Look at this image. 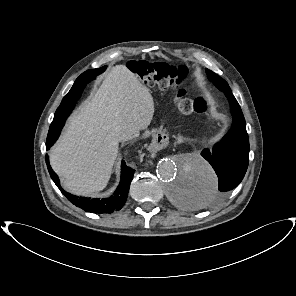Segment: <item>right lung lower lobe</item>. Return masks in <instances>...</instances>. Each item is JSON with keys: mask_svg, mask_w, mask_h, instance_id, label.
<instances>
[{"mask_svg": "<svg viewBox=\"0 0 296 296\" xmlns=\"http://www.w3.org/2000/svg\"><path fill=\"white\" fill-rule=\"evenodd\" d=\"M91 70H88L81 74L75 81L74 85L71 88V92L73 96L77 97L80 96L84 87L88 82H90L97 74L90 73ZM71 113L70 108H65L60 110L59 112H55L54 120L52 121L47 140H46V148L49 149L54 142L59 137L60 131L65 123L66 118ZM46 164L48 167V171L54 183L60 189L62 194L75 206L85 210L86 212L92 213H112L115 211L120 210L123 205L125 204L130 188V183L133 179L134 170L128 166H126L125 162L122 161L121 165V181L118 187L116 188L115 192L109 198H102V199H90L86 197H78L67 193L64 191L60 184L59 179L56 173L52 170L48 155L46 154Z\"/></svg>", "mask_w": 296, "mask_h": 296, "instance_id": "98d812e1", "label": "right lung lower lobe"}]
</instances>
